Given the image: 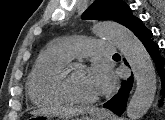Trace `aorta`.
Wrapping results in <instances>:
<instances>
[{"label": "aorta", "mask_w": 165, "mask_h": 120, "mask_svg": "<svg viewBox=\"0 0 165 120\" xmlns=\"http://www.w3.org/2000/svg\"><path fill=\"white\" fill-rule=\"evenodd\" d=\"M94 32L112 40L128 61L136 89L127 106V115L131 120L141 119L152 105L156 92V74L150 55L139 39L119 23L98 22L94 25Z\"/></svg>", "instance_id": "762f6f07"}]
</instances>
